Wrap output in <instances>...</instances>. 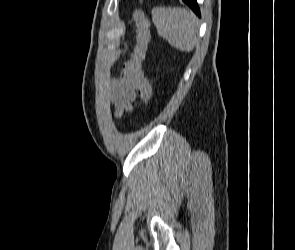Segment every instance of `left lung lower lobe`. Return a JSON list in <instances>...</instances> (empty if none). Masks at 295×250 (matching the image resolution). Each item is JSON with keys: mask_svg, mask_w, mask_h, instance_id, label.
Returning <instances> with one entry per match:
<instances>
[{"mask_svg": "<svg viewBox=\"0 0 295 250\" xmlns=\"http://www.w3.org/2000/svg\"><path fill=\"white\" fill-rule=\"evenodd\" d=\"M200 17V10L196 0H183Z\"/></svg>", "mask_w": 295, "mask_h": 250, "instance_id": "obj_1", "label": "left lung lower lobe"}]
</instances>
